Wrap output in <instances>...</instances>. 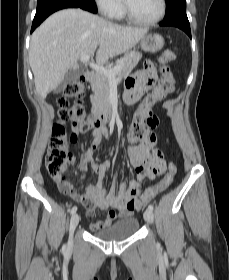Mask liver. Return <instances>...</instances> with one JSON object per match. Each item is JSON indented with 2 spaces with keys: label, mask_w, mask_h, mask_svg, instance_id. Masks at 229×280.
I'll use <instances>...</instances> for the list:
<instances>
[{
  "label": "liver",
  "mask_w": 229,
  "mask_h": 280,
  "mask_svg": "<svg viewBox=\"0 0 229 280\" xmlns=\"http://www.w3.org/2000/svg\"><path fill=\"white\" fill-rule=\"evenodd\" d=\"M81 9H64L47 18L31 37L29 62L37 93L45 99L68 69H78L82 55L95 54L99 63L129 51L146 34Z\"/></svg>",
  "instance_id": "liver-1"
}]
</instances>
